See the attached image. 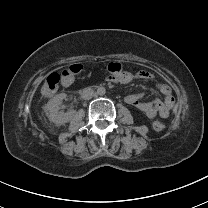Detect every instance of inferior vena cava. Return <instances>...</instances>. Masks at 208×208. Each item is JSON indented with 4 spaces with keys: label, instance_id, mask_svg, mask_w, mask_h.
Listing matches in <instances>:
<instances>
[{
    "label": "inferior vena cava",
    "instance_id": "inferior-vena-cava-1",
    "mask_svg": "<svg viewBox=\"0 0 208 208\" xmlns=\"http://www.w3.org/2000/svg\"><path fill=\"white\" fill-rule=\"evenodd\" d=\"M94 96V91L87 87V88H84L81 92V97L85 100H89L91 99L92 97Z\"/></svg>",
    "mask_w": 208,
    "mask_h": 208
}]
</instances>
